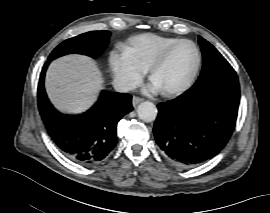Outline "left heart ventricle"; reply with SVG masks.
<instances>
[{"label": "left heart ventricle", "mask_w": 270, "mask_h": 213, "mask_svg": "<svg viewBox=\"0 0 270 213\" xmlns=\"http://www.w3.org/2000/svg\"><path fill=\"white\" fill-rule=\"evenodd\" d=\"M196 65V53L190 44L175 47L156 69L152 83L159 90L172 89L184 84Z\"/></svg>", "instance_id": "left-heart-ventricle-1"}]
</instances>
